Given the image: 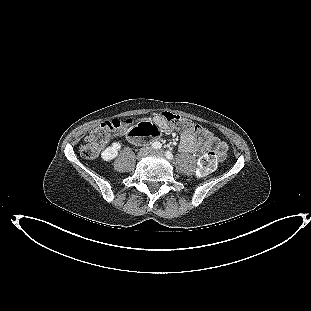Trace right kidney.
<instances>
[{"mask_svg": "<svg viewBox=\"0 0 311 311\" xmlns=\"http://www.w3.org/2000/svg\"><path fill=\"white\" fill-rule=\"evenodd\" d=\"M121 149L120 142H113L111 146L107 147L101 153V157L104 161H111L117 157L118 151Z\"/></svg>", "mask_w": 311, "mask_h": 311, "instance_id": "ca27d5eb", "label": "right kidney"}]
</instances>
